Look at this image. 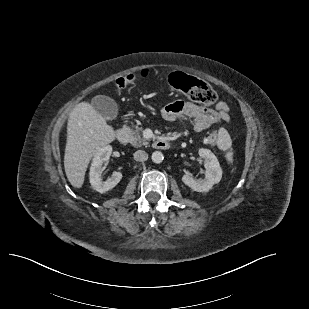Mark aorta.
<instances>
[{"instance_id":"1","label":"aorta","mask_w":309,"mask_h":309,"mask_svg":"<svg viewBox=\"0 0 309 309\" xmlns=\"http://www.w3.org/2000/svg\"><path fill=\"white\" fill-rule=\"evenodd\" d=\"M151 158H152V161L154 163L159 164V163H161L163 161L164 156H163L162 152L155 151V152L152 153V157Z\"/></svg>"}]
</instances>
